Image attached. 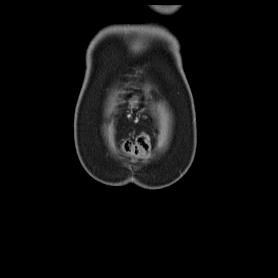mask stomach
Returning a JSON list of instances; mask_svg holds the SVG:
<instances>
[{"instance_id":"stomach-1","label":"stomach","mask_w":278,"mask_h":278,"mask_svg":"<svg viewBox=\"0 0 278 278\" xmlns=\"http://www.w3.org/2000/svg\"><path fill=\"white\" fill-rule=\"evenodd\" d=\"M136 103H137V98L134 97V98L131 100V106L133 107Z\"/></svg>"}]
</instances>
